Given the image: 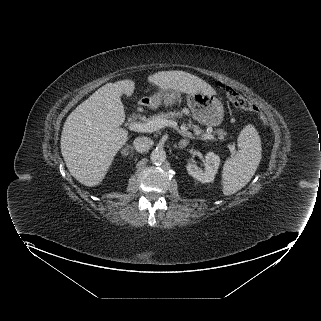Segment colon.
Here are the masks:
<instances>
[{"instance_id": "5ec220e1", "label": "colon", "mask_w": 321, "mask_h": 321, "mask_svg": "<svg viewBox=\"0 0 321 321\" xmlns=\"http://www.w3.org/2000/svg\"><path fill=\"white\" fill-rule=\"evenodd\" d=\"M225 91L227 97L234 106L256 113L261 121L267 123L265 114L254 103L249 101L247 98H245L243 95H241L239 92H237L235 89L231 87H226Z\"/></svg>"}]
</instances>
